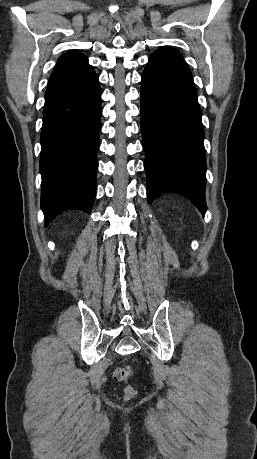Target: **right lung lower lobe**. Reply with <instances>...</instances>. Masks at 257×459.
Wrapping results in <instances>:
<instances>
[{
	"label": "right lung lower lobe",
	"instance_id": "98d812e1",
	"mask_svg": "<svg viewBox=\"0 0 257 459\" xmlns=\"http://www.w3.org/2000/svg\"><path fill=\"white\" fill-rule=\"evenodd\" d=\"M100 96L95 73L46 90L40 156L45 226L66 210L91 213L98 168Z\"/></svg>",
	"mask_w": 257,
	"mask_h": 459
}]
</instances>
